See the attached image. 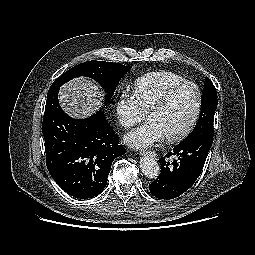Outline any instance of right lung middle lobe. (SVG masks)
<instances>
[{
	"label": "right lung middle lobe",
	"mask_w": 255,
	"mask_h": 255,
	"mask_svg": "<svg viewBox=\"0 0 255 255\" xmlns=\"http://www.w3.org/2000/svg\"><path fill=\"white\" fill-rule=\"evenodd\" d=\"M130 70L129 67L120 63L104 61H87L72 67L61 76H59L51 85L48 94L60 89V87L69 80L86 76L98 82L105 91V106L109 103L120 79Z\"/></svg>",
	"instance_id": "dd1d6c3e"
}]
</instances>
